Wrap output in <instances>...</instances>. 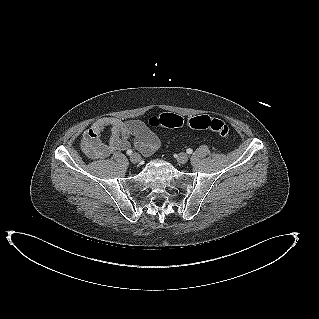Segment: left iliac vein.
Instances as JSON below:
<instances>
[{
	"mask_svg": "<svg viewBox=\"0 0 319 319\" xmlns=\"http://www.w3.org/2000/svg\"><path fill=\"white\" fill-rule=\"evenodd\" d=\"M189 157L186 153L181 152L178 154L177 161L181 164H185L188 161Z\"/></svg>",
	"mask_w": 319,
	"mask_h": 319,
	"instance_id": "left-iliac-vein-1",
	"label": "left iliac vein"
}]
</instances>
